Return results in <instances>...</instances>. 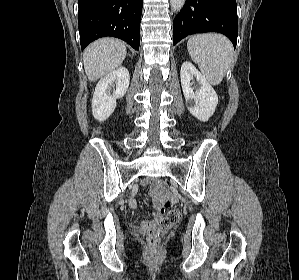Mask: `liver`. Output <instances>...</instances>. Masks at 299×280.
I'll list each match as a JSON object with an SVG mask.
<instances>
[{
  "mask_svg": "<svg viewBox=\"0 0 299 280\" xmlns=\"http://www.w3.org/2000/svg\"><path fill=\"white\" fill-rule=\"evenodd\" d=\"M127 54L124 43L113 38L99 39L83 53L85 73L90 81H96L120 67Z\"/></svg>",
  "mask_w": 299,
  "mask_h": 280,
  "instance_id": "liver-1",
  "label": "liver"
}]
</instances>
